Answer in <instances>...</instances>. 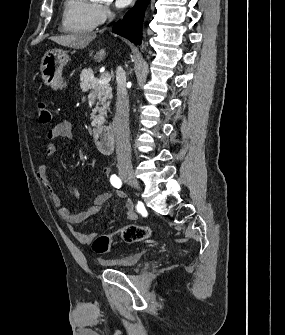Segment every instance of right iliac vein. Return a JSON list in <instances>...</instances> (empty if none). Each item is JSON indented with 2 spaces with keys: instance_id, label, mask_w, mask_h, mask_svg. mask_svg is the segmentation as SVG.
<instances>
[{
  "instance_id": "right-iliac-vein-1",
  "label": "right iliac vein",
  "mask_w": 285,
  "mask_h": 335,
  "mask_svg": "<svg viewBox=\"0 0 285 335\" xmlns=\"http://www.w3.org/2000/svg\"><path fill=\"white\" fill-rule=\"evenodd\" d=\"M121 177L132 187H134L135 189L139 190V182L136 179L133 171L129 168H122L121 169Z\"/></svg>"
}]
</instances>
